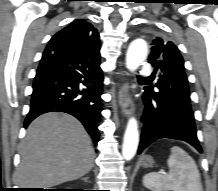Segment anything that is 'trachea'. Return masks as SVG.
<instances>
[{
    "label": "trachea",
    "instance_id": "3493384b",
    "mask_svg": "<svg viewBox=\"0 0 218 191\" xmlns=\"http://www.w3.org/2000/svg\"><path fill=\"white\" fill-rule=\"evenodd\" d=\"M139 78H141V79H147V78H143V77H141V76H138Z\"/></svg>",
    "mask_w": 218,
    "mask_h": 191
}]
</instances>
